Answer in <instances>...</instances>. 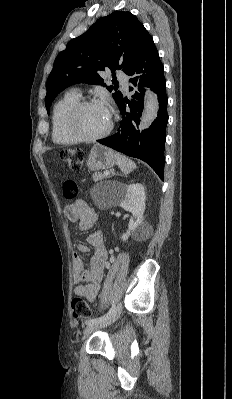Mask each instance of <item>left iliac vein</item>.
Returning <instances> with one entry per match:
<instances>
[{
	"label": "left iliac vein",
	"instance_id": "obj_1",
	"mask_svg": "<svg viewBox=\"0 0 232 399\" xmlns=\"http://www.w3.org/2000/svg\"><path fill=\"white\" fill-rule=\"evenodd\" d=\"M118 306L115 308V310L113 311V313H112V315H111V317H110V320H107L106 322H95V324L94 325H88V328H86V330H83V332L84 333H94L93 332V329L94 328H104L103 327V324L105 323V326L106 327H109L110 326V324L111 323H114L116 320H117V318H118V316H119V314H120V310L122 309V304H123V301L122 300H119L118 301Z\"/></svg>",
	"mask_w": 232,
	"mask_h": 399
}]
</instances>
